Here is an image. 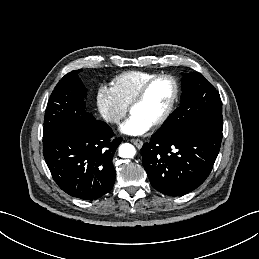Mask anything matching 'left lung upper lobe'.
Segmentation results:
<instances>
[{"label":"left lung upper lobe","instance_id":"5c2ea615","mask_svg":"<svg viewBox=\"0 0 259 259\" xmlns=\"http://www.w3.org/2000/svg\"><path fill=\"white\" fill-rule=\"evenodd\" d=\"M182 89L181 105L161 126L160 133L177 134L205 119L223 123L220 95L202 74L185 73Z\"/></svg>","mask_w":259,"mask_h":259}]
</instances>
